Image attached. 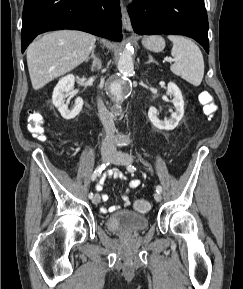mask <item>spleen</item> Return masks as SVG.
Segmentation results:
<instances>
[{"label": "spleen", "mask_w": 243, "mask_h": 289, "mask_svg": "<svg viewBox=\"0 0 243 289\" xmlns=\"http://www.w3.org/2000/svg\"><path fill=\"white\" fill-rule=\"evenodd\" d=\"M173 47L174 64L170 70L194 86H199L204 76V60L199 47L190 39L180 35H169Z\"/></svg>", "instance_id": "1"}]
</instances>
